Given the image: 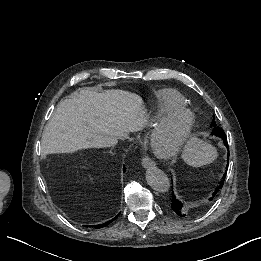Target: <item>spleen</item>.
<instances>
[{"label": "spleen", "mask_w": 261, "mask_h": 261, "mask_svg": "<svg viewBox=\"0 0 261 261\" xmlns=\"http://www.w3.org/2000/svg\"><path fill=\"white\" fill-rule=\"evenodd\" d=\"M181 157L186 164L192 167H201L216 160L218 152L212 144L197 137H191L184 146Z\"/></svg>", "instance_id": "1"}]
</instances>
